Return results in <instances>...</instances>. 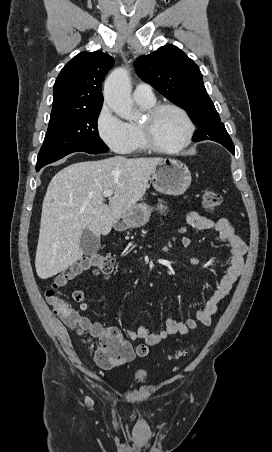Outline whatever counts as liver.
<instances>
[{
  "label": "liver",
  "mask_w": 272,
  "mask_h": 452,
  "mask_svg": "<svg viewBox=\"0 0 272 452\" xmlns=\"http://www.w3.org/2000/svg\"><path fill=\"white\" fill-rule=\"evenodd\" d=\"M161 158L114 156L71 164L50 181L42 204L35 268L41 279L82 258L80 238L89 229L107 235L120 217L144 196ZM112 190L109 205L103 192Z\"/></svg>",
  "instance_id": "obj_1"
}]
</instances>
